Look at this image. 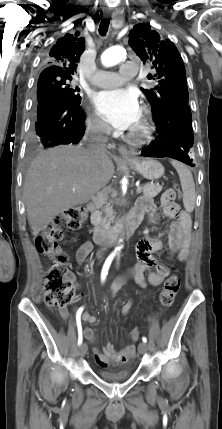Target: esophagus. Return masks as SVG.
Here are the masks:
<instances>
[{
	"mask_svg": "<svg viewBox=\"0 0 222 429\" xmlns=\"http://www.w3.org/2000/svg\"><path fill=\"white\" fill-rule=\"evenodd\" d=\"M104 16L108 17L109 14H105ZM112 17L114 19H120V20H122L123 18L122 13L119 10L113 12ZM118 152L120 153L121 157L124 159L132 158L131 153L128 151V149L122 145L118 146Z\"/></svg>",
	"mask_w": 222,
	"mask_h": 429,
	"instance_id": "34e87169",
	"label": "esophagus"
}]
</instances>
